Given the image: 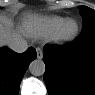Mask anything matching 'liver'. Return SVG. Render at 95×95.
Returning <instances> with one entry per match:
<instances>
[{"label":"liver","mask_w":95,"mask_h":95,"mask_svg":"<svg viewBox=\"0 0 95 95\" xmlns=\"http://www.w3.org/2000/svg\"><path fill=\"white\" fill-rule=\"evenodd\" d=\"M22 34L15 29L12 20L5 15L1 16L0 20V45L9 46L15 40L21 39Z\"/></svg>","instance_id":"liver-1"}]
</instances>
